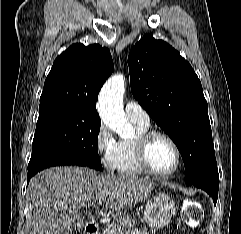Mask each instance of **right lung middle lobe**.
Masks as SVG:
<instances>
[{"label":"right lung middle lobe","instance_id":"1","mask_svg":"<svg viewBox=\"0 0 241 234\" xmlns=\"http://www.w3.org/2000/svg\"><path fill=\"white\" fill-rule=\"evenodd\" d=\"M98 116L70 106L39 107L31 159L54 151L72 154L88 167L103 170L98 155Z\"/></svg>","mask_w":241,"mask_h":234}]
</instances>
